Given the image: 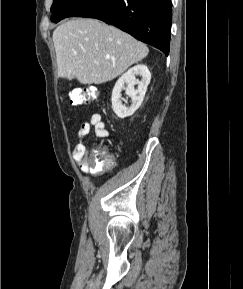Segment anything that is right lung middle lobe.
<instances>
[{"label": "right lung middle lobe", "instance_id": "obj_1", "mask_svg": "<svg viewBox=\"0 0 243 289\" xmlns=\"http://www.w3.org/2000/svg\"><path fill=\"white\" fill-rule=\"evenodd\" d=\"M84 1L85 0H54V4L51 6V20L57 23L69 17Z\"/></svg>", "mask_w": 243, "mask_h": 289}]
</instances>
